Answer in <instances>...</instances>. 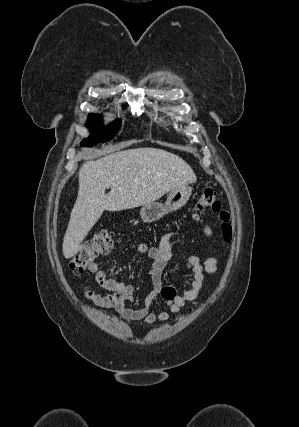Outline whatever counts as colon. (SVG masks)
<instances>
[{
    "label": "colon",
    "mask_w": 299,
    "mask_h": 427,
    "mask_svg": "<svg viewBox=\"0 0 299 427\" xmlns=\"http://www.w3.org/2000/svg\"><path fill=\"white\" fill-rule=\"evenodd\" d=\"M198 212L210 210L217 216L221 234L225 241L232 239V227L229 213L222 207L217 193L212 189L201 191L196 203ZM114 245L112 232L101 230L97 232L69 261V269L73 274H81L95 262V260L107 254Z\"/></svg>",
    "instance_id": "5ec220e1"
}]
</instances>
